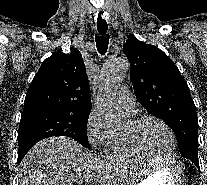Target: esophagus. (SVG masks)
I'll return each instance as SVG.
<instances>
[{
  "instance_id": "esophagus-1",
  "label": "esophagus",
  "mask_w": 207,
  "mask_h": 185,
  "mask_svg": "<svg viewBox=\"0 0 207 185\" xmlns=\"http://www.w3.org/2000/svg\"><path fill=\"white\" fill-rule=\"evenodd\" d=\"M95 14H106V9H95ZM96 24H107L98 25V30H109V21L106 19V15H95Z\"/></svg>"
}]
</instances>
